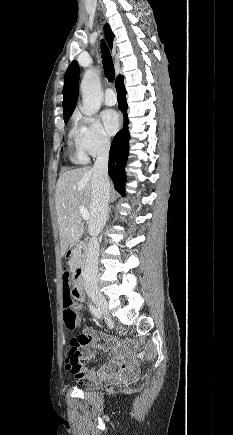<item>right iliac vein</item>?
<instances>
[{"label": "right iliac vein", "instance_id": "63e3f726", "mask_svg": "<svg viewBox=\"0 0 233 435\" xmlns=\"http://www.w3.org/2000/svg\"><path fill=\"white\" fill-rule=\"evenodd\" d=\"M89 296L92 299V301L96 304V306H98L104 313L108 312L107 301L101 293L91 291L89 292Z\"/></svg>", "mask_w": 233, "mask_h": 435}]
</instances>
